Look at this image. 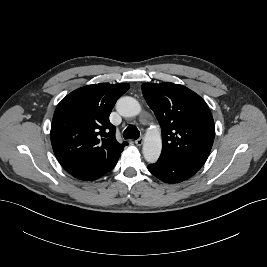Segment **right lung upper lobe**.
Here are the masks:
<instances>
[{
  "instance_id": "obj_1",
  "label": "right lung upper lobe",
  "mask_w": 267,
  "mask_h": 267,
  "mask_svg": "<svg viewBox=\"0 0 267 267\" xmlns=\"http://www.w3.org/2000/svg\"><path fill=\"white\" fill-rule=\"evenodd\" d=\"M129 87L127 83L88 85L74 90L58 104L51 124V143L68 173L101 176L118 161L128 144L117 142L109 115Z\"/></svg>"
}]
</instances>
